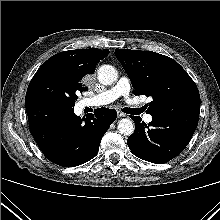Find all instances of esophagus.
<instances>
[{"instance_id": "34e87169", "label": "esophagus", "mask_w": 220, "mask_h": 220, "mask_svg": "<svg viewBox=\"0 0 220 220\" xmlns=\"http://www.w3.org/2000/svg\"><path fill=\"white\" fill-rule=\"evenodd\" d=\"M117 115H118V117H125L126 116V114L121 112L120 110L117 111Z\"/></svg>"}]
</instances>
